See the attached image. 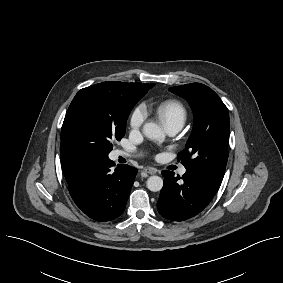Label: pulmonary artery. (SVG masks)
Wrapping results in <instances>:
<instances>
[{"instance_id": "pulmonary-artery-1", "label": "pulmonary artery", "mask_w": 283, "mask_h": 283, "mask_svg": "<svg viewBox=\"0 0 283 283\" xmlns=\"http://www.w3.org/2000/svg\"><path fill=\"white\" fill-rule=\"evenodd\" d=\"M165 128H166L167 134L170 135V136H173L180 131V129L182 128V125H180V124H170V125H167ZM116 156H128V154L124 151H118V152H116ZM179 172H180L181 175H183L186 172V169L181 168Z\"/></svg>"}]
</instances>
